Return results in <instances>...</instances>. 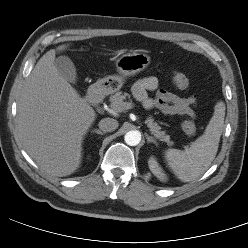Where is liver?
I'll return each mask as SVG.
<instances>
[{"instance_id": "6515ba94", "label": "liver", "mask_w": 248, "mask_h": 248, "mask_svg": "<svg viewBox=\"0 0 248 248\" xmlns=\"http://www.w3.org/2000/svg\"><path fill=\"white\" fill-rule=\"evenodd\" d=\"M45 53L26 79L17 107L19 139L36 164L52 176L75 172L82 161V142L96 113L57 71L56 52Z\"/></svg>"}]
</instances>
